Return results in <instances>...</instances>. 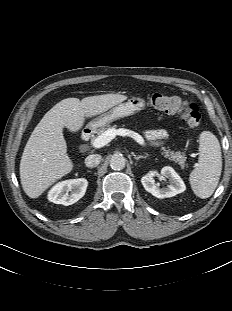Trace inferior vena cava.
I'll return each instance as SVG.
<instances>
[{
	"label": "inferior vena cava",
	"mask_w": 232,
	"mask_h": 311,
	"mask_svg": "<svg viewBox=\"0 0 232 311\" xmlns=\"http://www.w3.org/2000/svg\"><path fill=\"white\" fill-rule=\"evenodd\" d=\"M101 162V156L99 154H92L86 157L85 165L89 168L96 167Z\"/></svg>",
	"instance_id": "inferior-vena-cava-1"
}]
</instances>
